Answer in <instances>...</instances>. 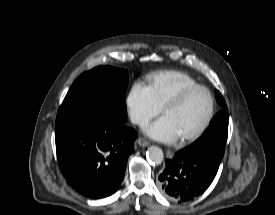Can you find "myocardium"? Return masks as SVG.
Here are the masks:
<instances>
[{"label": "myocardium", "instance_id": "f54148a6", "mask_svg": "<svg viewBox=\"0 0 275 215\" xmlns=\"http://www.w3.org/2000/svg\"><path fill=\"white\" fill-rule=\"evenodd\" d=\"M196 90H203L208 94L209 100H210L209 111H208L207 116L205 117L204 121L200 124V126L196 130H194L192 133H190L186 136L180 137L178 139L180 143H188V142L195 140L210 125V123L213 119L214 113H215V98H214L213 93L211 92V90L208 87H206L204 85H201V84L191 85V86L185 87L182 90H180L177 94H175L172 98H170L163 105V107L161 109V112L164 115L166 113V111L179 105L190 93H192Z\"/></svg>", "mask_w": 275, "mask_h": 215}]
</instances>
